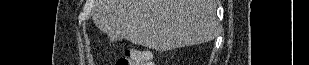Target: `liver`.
Wrapping results in <instances>:
<instances>
[{
	"instance_id": "liver-1",
	"label": "liver",
	"mask_w": 309,
	"mask_h": 65,
	"mask_svg": "<svg viewBox=\"0 0 309 65\" xmlns=\"http://www.w3.org/2000/svg\"><path fill=\"white\" fill-rule=\"evenodd\" d=\"M93 22L110 38L163 52L213 40L216 0H94Z\"/></svg>"
}]
</instances>
